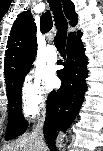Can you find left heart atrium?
<instances>
[{"mask_svg":"<svg viewBox=\"0 0 103 151\" xmlns=\"http://www.w3.org/2000/svg\"><path fill=\"white\" fill-rule=\"evenodd\" d=\"M45 81L48 89L54 88L58 84V78L54 71L50 70L45 75Z\"/></svg>","mask_w":103,"mask_h":151,"instance_id":"obj_1","label":"left heart atrium"}]
</instances>
